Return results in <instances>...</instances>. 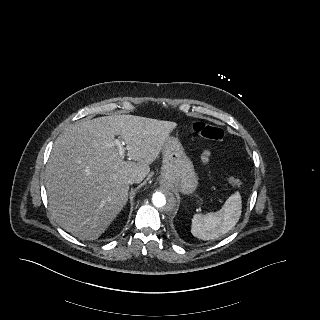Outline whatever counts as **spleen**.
Instances as JSON below:
<instances>
[{"mask_svg": "<svg viewBox=\"0 0 320 320\" xmlns=\"http://www.w3.org/2000/svg\"><path fill=\"white\" fill-rule=\"evenodd\" d=\"M242 210L241 196L233 193L217 212L195 214L192 218V234L203 240L218 238L229 232L239 221Z\"/></svg>", "mask_w": 320, "mask_h": 320, "instance_id": "1", "label": "spleen"}]
</instances>
